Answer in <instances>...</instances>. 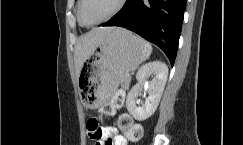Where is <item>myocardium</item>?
<instances>
[{"mask_svg":"<svg viewBox=\"0 0 243 145\" xmlns=\"http://www.w3.org/2000/svg\"><path fill=\"white\" fill-rule=\"evenodd\" d=\"M84 2H85V0H79L78 19L83 26L94 27V26L100 25L104 22H107L108 20H110L111 18L116 16L125 7L127 0H119L117 7L108 16H106L105 18H103L102 20H100L94 24H88L84 21V18H83Z\"/></svg>","mask_w":243,"mask_h":145,"instance_id":"f54148a6","label":"myocardium"}]
</instances>
